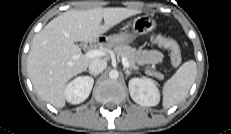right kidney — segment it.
<instances>
[{"instance_id": "1", "label": "right kidney", "mask_w": 231, "mask_h": 134, "mask_svg": "<svg viewBox=\"0 0 231 134\" xmlns=\"http://www.w3.org/2000/svg\"><path fill=\"white\" fill-rule=\"evenodd\" d=\"M94 80L80 76L68 83L64 89L66 100L71 104H79L86 100L92 90Z\"/></svg>"}]
</instances>
